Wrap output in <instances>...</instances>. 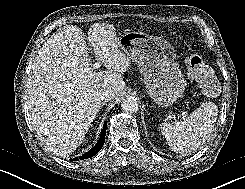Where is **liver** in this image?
<instances>
[{"instance_id":"obj_1","label":"liver","mask_w":245,"mask_h":189,"mask_svg":"<svg viewBox=\"0 0 245 189\" xmlns=\"http://www.w3.org/2000/svg\"><path fill=\"white\" fill-rule=\"evenodd\" d=\"M97 60L106 67H90V48L82 30L66 25L40 48L28 78V101L32 125L47 148L67 157L82 143L101 109L100 95L111 89L123 96V73L130 58L118 48L113 25L94 23L88 31Z\"/></svg>"}]
</instances>
